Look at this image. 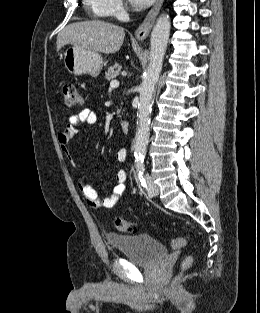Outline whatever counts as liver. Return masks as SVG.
Listing matches in <instances>:
<instances>
[{
  "label": "liver",
  "instance_id": "liver-1",
  "mask_svg": "<svg viewBox=\"0 0 260 313\" xmlns=\"http://www.w3.org/2000/svg\"><path fill=\"white\" fill-rule=\"evenodd\" d=\"M123 27L104 21H83L67 25L57 36V51L71 44L80 48L112 54L121 48Z\"/></svg>",
  "mask_w": 260,
  "mask_h": 313
}]
</instances>
